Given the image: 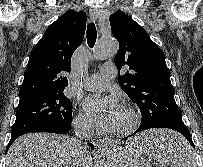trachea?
<instances>
[{"mask_svg": "<svg viewBox=\"0 0 203 167\" xmlns=\"http://www.w3.org/2000/svg\"><path fill=\"white\" fill-rule=\"evenodd\" d=\"M97 38V31L95 24L93 22L89 23L87 26V43L89 47H93L95 45Z\"/></svg>", "mask_w": 203, "mask_h": 167, "instance_id": "obj_1", "label": "trachea"}]
</instances>
